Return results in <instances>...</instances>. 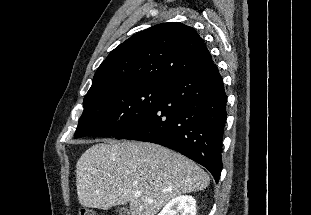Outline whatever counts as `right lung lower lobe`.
<instances>
[{"instance_id": "1", "label": "right lung lower lobe", "mask_w": 311, "mask_h": 215, "mask_svg": "<svg viewBox=\"0 0 311 215\" xmlns=\"http://www.w3.org/2000/svg\"><path fill=\"white\" fill-rule=\"evenodd\" d=\"M226 103L223 79L211 63L166 82L161 103L115 138L176 150L207 168L217 183L222 170Z\"/></svg>"}]
</instances>
